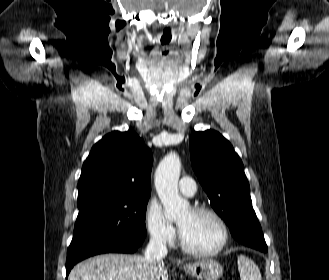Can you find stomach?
I'll use <instances>...</instances> for the list:
<instances>
[{
    "label": "stomach",
    "mask_w": 329,
    "mask_h": 280,
    "mask_svg": "<svg viewBox=\"0 0 329 280\" xmlns=\"http://www.w3.org/2000/svg\"><path fill=\"white\" fill-rule=\"evenodd\" d=\"M184 270L199 280H218L223 274L222 266L212 259H203L186 265Z\"/></svg>",
    "instance_id": "0dacf381"
}]
</instances>
